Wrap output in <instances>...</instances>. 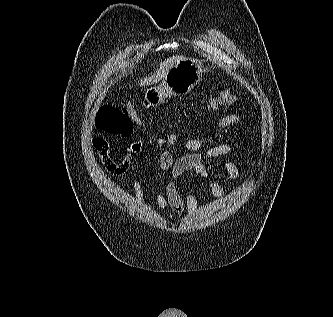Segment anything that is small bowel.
Wrapping results in <instances>:
<instances>
[{"instance_id":"1","label":"small bowel","mask_w":333,"mask_h":317,"mask_svg":"<svg viewBox=\"0 0 333 317\" xmlns=\"http://www.w3.org/2000/svg\"><path fill=\"white\" fill-rule=\"evenodd\" d=\"M241 122V117L236 113L227 114L221 117L214 129V134H219L228 127L237 125ZM209 140L202 138H190L185 141V147L188 153L175 159L171 152L162 151L158 158L159 172H170L171 178L164 190L156 189V200L159 209L163 212L168 210L181 215L185 210L188 213H194L197 208V199L192 190H188L183 196L178 189V181L183 176L199 175L208 184V187L217 200L224 196L222 187L211 175L208 167L203 161L201 150L207 146ZM93 147L98 152L101 162L106 170L113 175H123L130 167L131 156L142 150V142L132 141L126 147L124 153L119 159L111 156L109 142L103 137H95L92 140ZM236 148L230 144H214L207 148L205 155L208 158L218 160L226 174L234 181H238L240 173L238 167L226 157L234 154ZM143 172V168L136 170L132 185L135 196L138 200H143V190L138 176Z\"/></svg>"}]
</instances>
